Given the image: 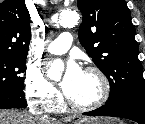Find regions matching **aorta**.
<instances>
[{
	"label": "aorta",
	"instance_id": "aorta-1",
	"mask_svg": "<svg viewBox=\"0 0 145 124\" xmlns=\"http://www.w3.org/2000/svg\"><path fill=\"white\" fill-rule=\"evenodd\" d=\"M60 19L64 26L73 27L78 23L79 15L75 11H66L61 14ZM63 69V61L60 59L55 60L47 71L48 78L52 80H59Z\"/></svg>",
	"mask_w": 145,
	"mask_h": 124
}]
</instances>
